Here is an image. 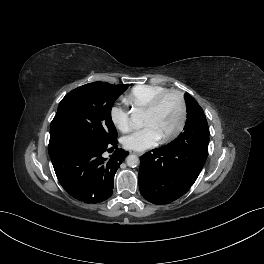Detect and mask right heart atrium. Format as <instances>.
Returning <instances> with one entry per match:
<instances>
[{
    "label": "right heart atrium",
    "instance_id": "obj_1",
    "mask_svg": "<svg viewBox=\"0 0 264 264\" xmlns=\"http://www.w3.org/2000/svg\"><path fill=\"white\" fill-rule=\"evenodd\" d=\"M110 119L112 124L121 132H127L130 129L129 112L120 105H114L110 110Z\"/></svg>",
    "mask_w": 264,
    "mask_h": 264
}]
</instances>
